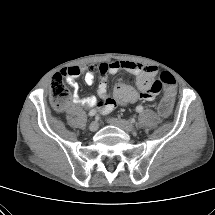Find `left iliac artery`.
Instances as JSON below:
<instances>
[{"label":"left iliac artery","instance_id":"44dca946","mask_svg":"<svg viewBox=\"0 0 215 215\" xmlns=\"http://www.w3.org/2000/svg\"><path fill=\"white\" fill-rule=\"evenodd\" d=\"M136 111H137L138 113H141V112L143 111V106H141V105L137 106V107H136Z\"/></svg>","mask_w":215,"mask_h":215}]
</instances>
